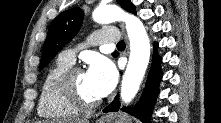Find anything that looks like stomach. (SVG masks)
<instances>
[{"label":"stomach","instance_id":"obj_1","mask_svg":"<svg viewBox=\"0 0 221 123\" xmlns=\"http://www.w3.org/2000/svg\"><path fill=\"white\" fill-rule=\"evenodd\" d=\"M131 119L125 114H108L99 118L96 123H130Z\"/></svg>","mask_w":221,"mask_h":123}]
</instances>
